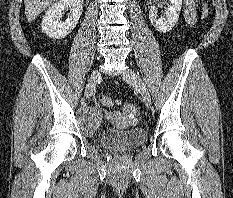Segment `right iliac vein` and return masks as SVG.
Returning a JSON list of instances; mask_svg holds the SVG:
<instances>
[{"label":"right iliac vein","instance_id":"right-iliac-vein-1","mask_svg":"<svg viewBox=\"0 0 233 198\" xmlns=\"http://www.w3.org/2000/svg\"><path fill=\"white\" fill-rule=\"evenodd\" d=\"M100 76V73L98 70H94L89 78L87 87H86V91H85V95L87 98L91 97L95 91V87H96V83L97 80Z\"/></svg>","mask_w":233,"mask_h":198}]
</instances>
